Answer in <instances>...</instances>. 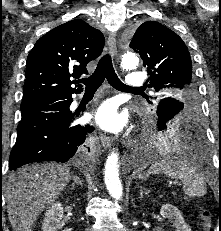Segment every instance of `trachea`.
<instances>
[{
	"instance_id": "1",
	"label": "trachea",
	"mask_w": 221,
	"mask_h": 231,
	"mask_svg": "<svg viewBox=\"0 0 221 231\" xmlns=\"http://www.w3.org/2000/svg\"><path fill=\"white\" fill-rule=\"evenodd\" d=\"M105 78L113 88L120 91L142 90L141 88H130L121 82L115 73L110 55L103 56L94 73L90 77L81 79L80 81L85 84L86 91H96Z\"/></svg>"
}]
</instances>
